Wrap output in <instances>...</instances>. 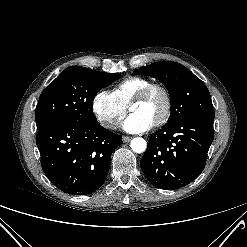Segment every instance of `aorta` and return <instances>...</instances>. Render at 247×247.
Here are the masks:
<instances>
[{"instance_id":"aorta-1","label":"aorta","mask_w":247,"mask_h":247,"mask_svg":"<svg viewBox=\"0 0 247 247\" xmlns=\"http://www.w3.org/2000/svg\"><path fill=\"white\" fill-rule=\"evenodd\" d=\"M131 149L136 153H142L146 150L147 143L145 139L141 137H136L131 140L130 143Z\"/></svg>"}]
</instances>
